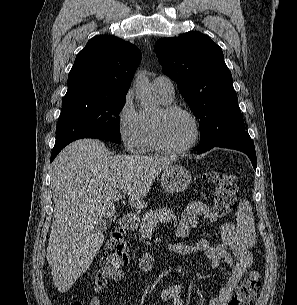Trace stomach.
I'll list each match as a JSON object with an SVG mask.
<instances>
[{"label":"stomach","mask_w":297,"mask_h":305,"mask_svg":"<svg viewBox=\"0 0 297 305\" xmlns=\"http://www.w3.org/2000/svg\"><path fill=\"white\" fill-rule=\"evenodd\" d=\"M191 183V174L180 165H171L161 174V184L168 193L184 191Z\"/></svg>","instance_id":"stomach-1"}]
</instances>
